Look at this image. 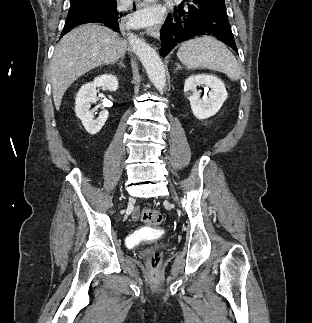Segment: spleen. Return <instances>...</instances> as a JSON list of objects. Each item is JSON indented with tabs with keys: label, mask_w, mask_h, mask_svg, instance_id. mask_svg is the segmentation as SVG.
<instances>
[{
	"label": "spleen",
	"mask_w": 312,
	"mask_h": 323,
	"mask_svg": "<svg viewBox=\"0 0 312 323\" xmlns=\"http://www.w3.org/2000/svg\"><path fill=\"white\" fill-rule=\"evenodd\" d=\"M177 58L187 66L188 70H215V72H223L231 78L233 82L240 78V70L230 50H227L223 42H219L216 38H194L188 42H182Z\"/></svg>",
	"instance_id": "1"
}]
</instances>
